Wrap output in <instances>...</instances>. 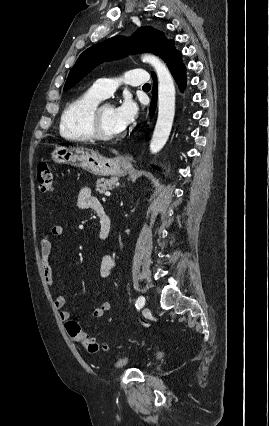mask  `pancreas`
Segmentation results:
<instances>
[{"mask_svg":"<svg viewBox=\"0 0 269 426\" xmlns=\"http://www.w3.org/2000/svg\"><path fill=\"white\" fill-rule=\"evenodd\" d=\"M116 181V177L110 179L100 178L96 182V191L103 194L105 191L113 189Z\"/></svg>","mask_w":269,"mask_h":426,"instance_id":"cf45deb5","label":"pancreas"}]
</instances>
